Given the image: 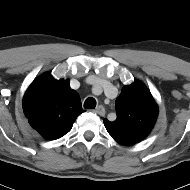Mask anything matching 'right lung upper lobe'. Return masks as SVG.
Masks as SVG:
<instances>
[{"instance_id":"1","label":"right lung upper lobe","mask_w":190,"mask_h":190,"mask_svg":"<svg viewBox=\"0 0 190 190\" xmlns=\"http://www.w3.org/2000/svg\"><path fill=\"white\" fill-rule=\"evenodd\" d=\"M24 114L44 138L55 140L68 133L84 112L77 91L69 80H55L50 73L37 77L23 98Z\"/></svg>"}]
</instances>
